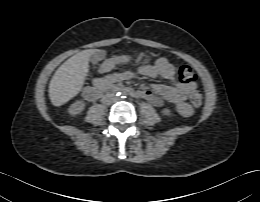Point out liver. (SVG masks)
<instances>
[{
	"label": "liver",
	"mask_w": 260,
	"mask_h": 202,
	"mask_svg": "<svg viewBox=\"0 0 260 202\" xmlns=\"http://www.w3.org/2000/svg\"><path fill=\"white\" fill-rule=\"evenodd\" d=\"M101 50H83L66 60L53 75L49 84V98L54 106H61L75 97L83 87L89 72L90 58Z\"/></svg>",
	"instance_id": "1"
}]
</instances>
